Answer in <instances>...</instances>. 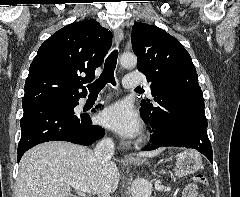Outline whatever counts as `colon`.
Here are the masks:
<instances>
[{
    "label": "colon",
    "instance_id": "5ec220e1",
    "mask_svg": "<svg viewBox=\"0 0 240 197\" xmlns=\"http://www.w3.org/2000/svg\"><path fill=\"white\" fill-rule=\"evenodd\" d=\"M194 181L197 182V183H199V184H204V185L207 184V179H206V177H205L204 175H202V174H197V175H195Z\"/></svg>",
    "mask_w": 240,
    "mask_h": 197
}]
</instances>
